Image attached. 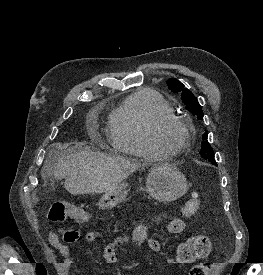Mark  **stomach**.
I'll return each mask as SVG.
<instances>
[{
	"instance_id": "0dacf381",
	"label": "stomach",
	"mask_w": 263,
	"mask_h": 275,
	"mask_svg": "<svg viewBox=\"0 0 263 275\" xmlns=\"http://www.w3.org/2000/svg\"><path fill=\"white\" fill-rule=\"evenodd\" d=\"M146 189L155 200L172 202L186 193L188 183L177 168L163 165L152 168L147 176ZM127 194V183H120L115 189L102 196L98 206L100 209L113 208L123 202Z\"/></svg>"
}]
</instances>
